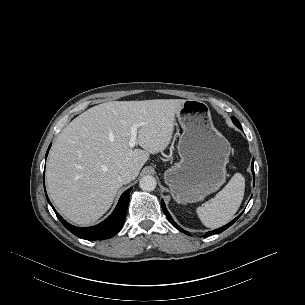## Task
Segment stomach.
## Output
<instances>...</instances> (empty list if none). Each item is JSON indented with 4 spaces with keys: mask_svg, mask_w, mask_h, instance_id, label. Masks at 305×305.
Instances as JSON below:
<instances>
[{
    "mask_svg": "<svg viewBox=\"0 0 305 305\" xmlns=\"http://www.w3.org/2000/svg\"><path fill=\"white\" fill-rule=\"evenodd\" d=\"M183 129L178 142L181 160L164 173L178 203H194L217 191L226 180L231 146L214 127L208 105L186 100L177 111Z\"/></svg>",
    "mask_w": 305,
    "mask_h": 305,
    "instance_id": "1",
    "label": "stomach"
}]
</instances>
